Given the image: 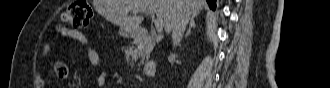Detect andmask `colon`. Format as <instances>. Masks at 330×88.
Returning <instances> with one entry per match:
<instances>
[{
	"instance_id": "obj_1",
	"label": "colon",
	"mask_w": 330,
	"mask_h": 88,
	"mask_svg": "<svg viewBox=\"0 0 330 88\" xmlns=\"http://www.w3.org/2000/svg\"><path fill=\"white\" fill-rule=\"evenodd\" d=\"M93 16V10L86 0H78L71 3L63 12L61 23L58 29L71 26L73 28H85L88 26ZM53 73L59 79H64L68 75V67L63 62H55Z\"/></svg>"
}]
</instances>
